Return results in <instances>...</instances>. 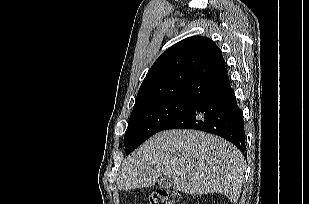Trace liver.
Returning <instances> with one entry per match:
<instances>
[{
  "label": "liver",
  "mask_w": 309,
  "mask_h": 204,
  "mask_svg": "<svg viewBox=\"0 0 309 204\" xmlns=\"http://www.w3.org/2000/svg\"><path fill=\"white\" fill-rule=\"evenodd\" d=\"M245 168L242 153L223 138L196 130H167L127 157L117 186L123 191L150 187L165 175L173 180L176 191L220 193L236 203Z\"/></svg>",
  "instance_id": "1"
}]
</instances>
